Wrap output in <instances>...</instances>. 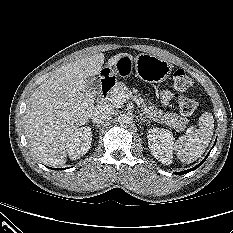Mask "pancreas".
I'll list each match as a JSON object with an SVG mask.
<instances>
[{"mask_svg": "<svg viewBox=\"0 0 233 233\" xmlns=\"http://www.w3.org/2000/svg\"><path fill=\"white\" fill-rule=\"evenodd\" d=\"M130 91L128 87L123 82H118L115 87L110 91L108 96V101L114 106L118 107L121 104L115 103V98L119 94H128ZM143 106L144 113L152 120L160 123H164L167 126L175 128L177 131H181L185 128L186 124L189 122L187 118L181 117L175 113L168 112L164 113L162 110L158 109L156 106L149 102L146 104V100L140 98Z\"/></svg>", "mask_w": 233, "mask_h": 233, "instance_id": "cf45deb5", "label": "pancreas"}]
</instances>
